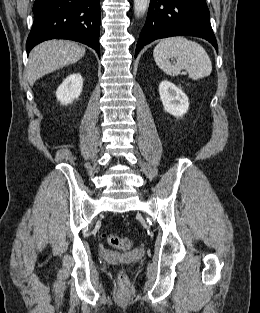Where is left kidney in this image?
<instances>
[{"label":"left kidney","mask_w":260,"mask_h":313,"mask_svg":"<svg viewBox=\"0 0 260 313\" xmlns=\"http://www.w3.org/2000/svg\"><path fill=\"white\" fill-rule=\"evenodd\" d=\"M160 98L164 110L175 117H182L189 108L188 97L173 83L164 80L159 85Z\"/></svg>","instance_id":"5707ae66"}]
</instances>
